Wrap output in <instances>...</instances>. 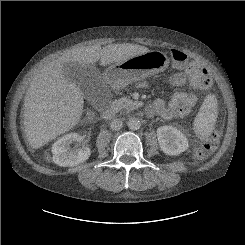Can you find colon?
<instances>
[{
    "mask_svg": "<svg viewBox=\"0 0 245 245\" xmlns=\"http://www.w3.org/2000/svg\"><path fill=\"white\" fill-rule=\"evenodd\" d=\"M170 57L175 66L179 68L186 67L189 63V58L187 54H185L181 50L172 49L170 51ZM197 82L199 86L208 90L212 86V78L208 73L200 74L197 77ZM88 117L92 115L90 111L86 114ZM220 138V133L218 131L211 132L203 141L199 143V145L195 149L194 156L197 159H203L208 156L212 151H214L218 145V141Z\"/></svg>",
    "mask_w": 245,
    "mask_h": 245,
    "instance_id": "1",
    "label": "colon"
}]
</instances>
